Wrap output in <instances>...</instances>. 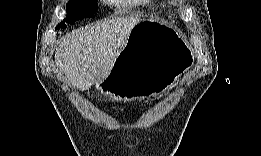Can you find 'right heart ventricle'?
Returning <instances> with one entry per match:
<instances>
[{
  "label": "right heart ventricle",
  "instance_id": "right-heart-ventricle-1",
  "mask_svg": "<svg viewBox=\"0 0 261 156\" xmlns=\"http://www.w3.org/2000/svg\"><path fill=\"white\" fill-rule=\"evenodd\" d=\"M113 3H115L117 5L125 6V5H128L130 2L126 1V0H118V1H114Z\"/></svg>",
  "mask_w": 261,
  "mask_h": 156
}]
</instances>
